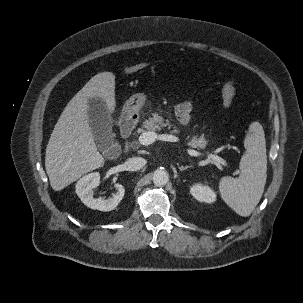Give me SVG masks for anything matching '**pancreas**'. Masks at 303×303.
<instances>
[{
    "instance_id": "1",
    "label": "pancreas",
    "mask_w": 303,
    "mask_h": 303,
    "mask_svg": "<svg viewBox=\"0 0 303 303\" xmlns=\"http://www.w3.org/2000/svg\"><path fill=\"white\" fill-rule=\"evenodd\" d=\"M172 124L170 123L169 120H164V118L162 116H160L157 113H153L152 117H150L149 119H146L143 123V128L148 130V131H160L163 128H168L171 129ZM175 129L172 131L173 133H178V130L176 127H174ZM189 140L188 144L193 147V148H197V149H204L207 145V141L205 139V137L200 136H188L187 138Z\"/></svg>"
}]
</instances>
